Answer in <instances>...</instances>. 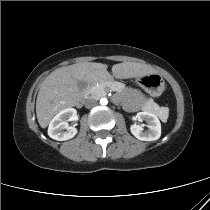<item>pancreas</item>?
I'll return each mask as SVG.
<instances>
[{
	"instance_id": "pancreas-1",
	"label": "pancreas",
	"mask_w": 210,
	"mask_h": 210,
	"mask_svg": "<svg viewBox=\"0 0 210 210\" xmlns=\"http://www.w3.org/2000/svg\"><path fill=\"white\" fill-rule=\"evenodd\" d=\"M124 88H125V85L121 82L109 81L106 83H99L97 85H92L89 88V94L92 97L100 98L106 94L107 89H111L113 91L120 92ZM144 109L147 112H152V111H158L160 108L153 100H149L145 104Z\"/></svg>"
}]
</instances>
